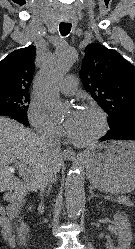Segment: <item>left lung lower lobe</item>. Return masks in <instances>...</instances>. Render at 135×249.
<instances>
[{"label":"left lung lower lobe","instance_id":"0a47b994","mask_svg":"<svg viewBox=\"0 0 135 249\" xmlns=\"http://www.w3.org/2000/svg\"><path fill=\"white\" fill-rule=\"evenodd\" d=\"M100 140H135V114H129L124 123L110 129Z\"/></svg>","mask_w":135,"mask_h":249}]
</instances>
